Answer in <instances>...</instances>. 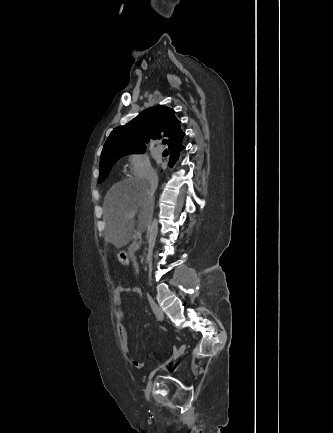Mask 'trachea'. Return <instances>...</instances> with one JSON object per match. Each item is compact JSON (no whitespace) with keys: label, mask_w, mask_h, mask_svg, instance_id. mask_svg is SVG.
Wrapping results in <instances>:
<instances>
[{"label":"trachea","mask_w":333,"mask_h":433,"mask_svg":"<svg viewBox=\"0 0 333 433\" xmlns=\"http://www.w3.org/2000/svg\"><path fill=\"white\" fill-rule=\"evenodd\" d=\"M167 143V141L166 140H163V144H166Z\"/></svg>","instance_id":"obj_1"}]
</instances>
